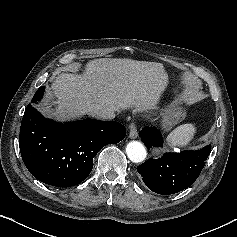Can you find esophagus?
<instances>
[{
	"instance_id": "34e87169",
	"label": "esophagus",
	"mask_w": 237,
	"mask_h": 237,
	"mask_svg": "<svg viewBox=\"0 0 237 237\" xmlns=\"http://www.w3.org/2000/svg\"><path fill=\"white\" fill-rule=\"evenodd\" d=\"M128 128H129L128 137H129L130 139H135V138H137V136H138V131H137V128H136L135 124H134V123H130L129 126H128Z\"/></svg>"
}]
</instances>
